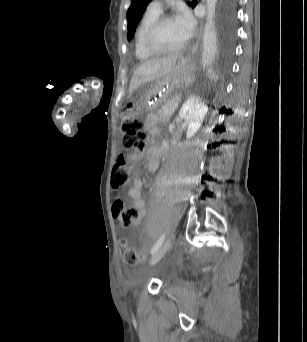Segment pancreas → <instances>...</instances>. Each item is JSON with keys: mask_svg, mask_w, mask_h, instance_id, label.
<instances>
[{"mask_svg": "<svg viewBox=\"0 0 307 342\" xmlns=\"http://www.w3.org/2000/svg\"><path fill=\"white\" fill-rule=\"evenodd\" d=\"M177 98L178 97L176 94H171L170 97H168L167 99L168 104H175L178 101ZM159 110H160L159 116H161V118H164V117H170L173 109H172V106H161Z\"/></svg>", "mask_w": 307, "mask_h": 342, "instance_id": "1", "label": "pancreas"}]
</instances>
